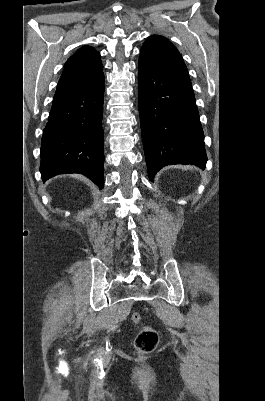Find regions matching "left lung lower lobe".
I'll return each instance as SVG.
<instances>
[{
  "label": "left lung lower lobe",
  "instance_id": "obj_1",
  "mask_svg": "<svg viewBox=\"0 0 265 401\" xmlns=\"http://www.w3.org/2000/svg\"><path fill=\"white\" fill-rule=\"evenodd\" d=\"M138 66L139 114L150 180L171 164L205 168L204 134L189 75L142 60Z\"/></svg>",
  "mask_w": 265,
  "mask_h": 401
}]
</instances>
